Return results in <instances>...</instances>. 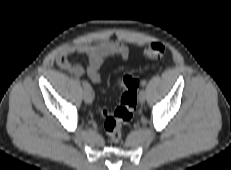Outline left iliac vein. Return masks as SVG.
I'll use <instances>...</instances> for the list:
<instances>
[{"mask_svg": "<svg viewBox=\"0 0 231 170\" xmlns=\"http://www.w3.org/2000/svg\"><path fill=\"white\" fill-rule=\"evenodd\" d=\"M146 100V92L144 90H141L139 93V101L141 103L145 102Z\"/></svg>", "mask_w": 231, "mask_h": 170, "instance_id": "obj_1", "label": "left iliac vein"}]
</instances>
